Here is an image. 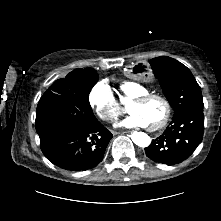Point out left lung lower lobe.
Masks as SVG:
<instances>
[{"instance_id": "obj_1", "label": "left lung lower lobe", "mask_w": 221, "mask_h": 221, "mask_svg": "<svg viewBox=\"0 0 221 221\" xmlns=\"http://www.w3.org/2000/svg\"><path fill=\"white\" fill-rule=\"evenodd\" d=\"M203 108L189 109L174 117L165 132L145 148L148 158L167 165L186 160L202 142L204 131ZM174 142L175 149L169 156L167 147Z\"/></svg>"}]
</instances>
